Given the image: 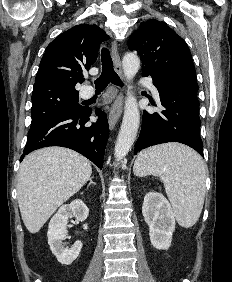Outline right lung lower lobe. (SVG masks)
<instances>
[{"instance_id": "1", "label": "right lung lower lobe", "mask_w": 232, "mask_h": 282, "mask_svg": "<svg viewBox=\"0 0 232 282\" xmlns=\"http://www.w3.org/2000/svg\"><path fill=\"white\" fill-rule=\"evenodd\" d=\"M92 110L83 108L78 112L60 113L45 122L32 126L23 155L47 146H62L73 149L102 169L109 127L106 114L96 109L97 123L86 127Z\"/></svg>"}]
</instances>
